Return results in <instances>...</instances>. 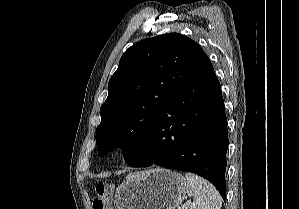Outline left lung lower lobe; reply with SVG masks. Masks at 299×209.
Listing matches in <instances>:
<instances>
[{
	"label": "left lung lower lobe",
	"instance_id": "left-lung-lower-lobe-1",
	"mask_svg": "<svg viewBox=\"0 0 299 209\" xmlns=\"http://www.w3.org/2000/svg\"><path fill=\"white\" fill-rule=\"evenodd\" d=\"M227 119L213 66L184 84L163 106L130 167H162L198 174L226 198Z\"/></svg>",
	"mask_w": 299,
	"mask_h": 209
}]
</instances>
